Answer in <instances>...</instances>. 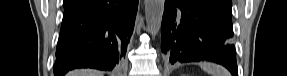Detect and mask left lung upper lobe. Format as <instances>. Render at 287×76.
Listing matches in <instances>:
<instances>
[{
  "mask_svg": "<svg viewBox=\"0 0 287 76\" xmlns=\"http://www.w3.org/2000/svg\"><path fill=\"white\" fill-rule=\"evenodd\" d=\"M209 2L212 7L219 10L223 14L231 17V7L232 3L231 0H200Z\"/></svg>",
  "mask_w": 287,
  "mask_h": 76,
  "instance_id": "obj_1",
  "label": "left lung upper lobe"
}]
</instances>
